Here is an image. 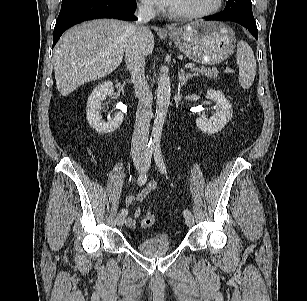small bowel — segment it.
Masks as SVG:
<instances>
[{
    "mask_svg": "<svg viewBox=\"0 0 307 301\" xmlns=\"http://www.w3.org/2000/svg\"><path fill=\"white\" fill-rule=\"evenodd\" d=\"M157 188V184L153 181H150L149 183H147L140 191H138L137 193L133 194V195H127L124 197V204L125 206H130L133 203L136 202H142L143 200H145L149 194H151L155 189ZM141 214V210L140 208H136L133 216L132 217H128L125 221V224L127 227L129 228H133L136 225V219L140 216Z\"/></svg>",
    "mask_w": 307,
    "mask_h": 301,
    "instance_id": "c3829d8e",
    "label": "small bowel"
}]
</instances>
